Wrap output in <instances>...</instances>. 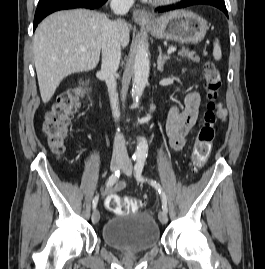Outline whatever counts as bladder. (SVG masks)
I'll return each instance as SVG.
<instances>
[{
	"label": "bladder",
	"instance_id": "31cf9c89",
	"mask_svg": "<svg viewBox=\"0 0 265 269\" xmlns=\"http://www.w3.org/2000/svg\"><path fill=\"white\" fill-rule=\"evenodd\" d=\"M103 241L122 251H147L160 242V230L154 217L147 213L120 215L108 220Z\"/></svg>",
	"mask_w": 265,
	"mask_h": 269
}]
</instances>
